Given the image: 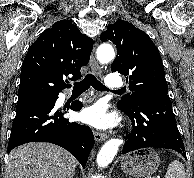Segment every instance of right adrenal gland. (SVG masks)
Returning <instances> with one entry per match:
<instances>
[{"mask_svg": "<svg viewBox=\"0 0 194 178\" xmlns=\"http://www.w3.org/2000/svg\"><path fill=\"white\" fill-rule=\"evenodd\" d=\"M74 175H75V173H73L69 178H73L74 177Z\"/></svg>", "mask_w": 194, "mask_h": 178, "instance_id": "2a0ac1e0", "label": "right adrenal gland"}]
</instances>
